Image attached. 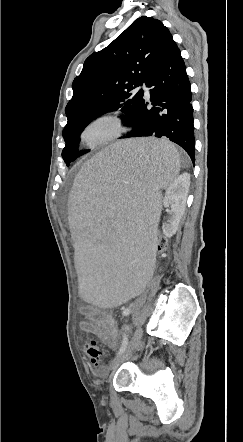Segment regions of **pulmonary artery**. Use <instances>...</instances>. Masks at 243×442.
Returning a JSON list of instances; mask_svg holds the SVG:
<instances>
[{"label":"pulmonary artery","mask_w":243,"mask_h":442,"mask_svg":"<svg viewBox=\"0 0 243 442\" xmlns=\"http://www.w3.org/2000/svg\"><path fill=\"white\" fill-rule=\"evenodd\" d=\"M143 90V92H144V94L146 95V96H149L150 95V92H149V89L145 86V85H142V86H140L139 88H138V90Z\"/></svg>","instance_id":"pulmonary-artery-1"}]
</instances>
